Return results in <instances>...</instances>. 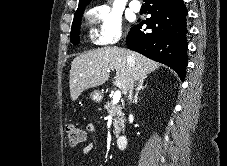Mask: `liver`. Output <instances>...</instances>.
<instances>
[{"mask_svg":"<svg viewBox=\"0 0 227 166\" xmlns=\"http://www.w3.org/2000/svg\"><path fill=\"white\" fill-rule=\"evenodd\" d=\"M161 64L134 51L119 47H102L78 55L71 63L70 95L76 101L87 89L103 85L115 70L113 84L123 94L129 90L130 79L139 81L159 69Z\"/></svg>","mask_w":227,"mask_h":166,"instance_id":"6515ba94","label":"liver"}]
</instances>
